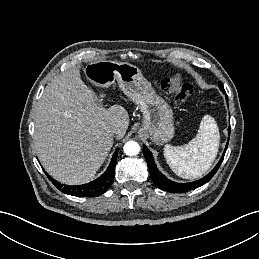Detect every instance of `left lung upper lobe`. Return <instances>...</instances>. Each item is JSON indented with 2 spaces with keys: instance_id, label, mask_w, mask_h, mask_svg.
Masks as SVG:
<instances>
[{
  "instance_id": "5c2ea615",
  "label": "left lung upper lobe",
  "mask_w": 259,
  "mask_h": 259,
  "mask_svg": "<svg viewBox=\"0 0 259 259\" xmlns=\"http://www.w3.org/2000/svg\"><path fill=\"white\" fill-rule=\"evenodd\" d=\"M219 88H220V90H221L222 92H225L224 87H223V85L221 84V82H219Z\"/></svg>"
}]
</instances>
